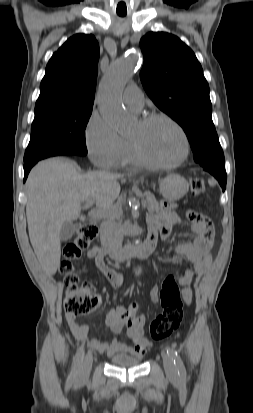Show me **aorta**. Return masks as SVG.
I'll use <instances>...</instances> for the list:
<instances>
[{
	"label": "aorta",
	"instance_id": "aorta-1",
	"mask_svg": "<svg viewBox=\"0 0 253 413\" xmlns=\"http://www.w3.org/2000/svg\"><path fill=\"white\" fill-rule=\"evenodd\" d=\"M137 55L115 60L103 76L98 89V108L102 116L118 131H128L133 121L123 106L122 93L132 77Z\"/></svg>",
	"mask_w": 253,
	"mask_h": 413
}]
</instances>
